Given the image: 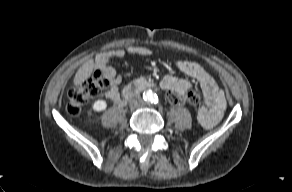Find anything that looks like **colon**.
<instances>
[{
	"label": "colon",
	"mask_w": 292,
	"mask_h": 192,
	"mask_svg": "<svg viewBox=\"0 0 292 192\" xmlns=\"http://www.w3.org/2000/svg\"><path fill=\"white\" fill-rule=\"evenodd\" d=\"M108 87L109 80L102 71H96L93 76L88 77L80 85L69 90L66 106L67 112L73 116L78 115L90 99L97 97ZM168 99L173 105L190 104L199 106L202 103L200 93L192 88L181 95L169 94Z\"/></svg>",
	"instance_id": "colon-1"
}]
</instances>
